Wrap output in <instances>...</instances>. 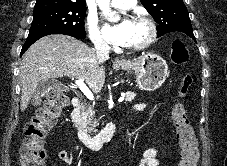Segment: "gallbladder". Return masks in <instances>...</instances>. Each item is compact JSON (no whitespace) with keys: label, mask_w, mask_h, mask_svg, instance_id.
<instances>
[{"label":"gallbladder","mask_w":227,"mask_h":166,"mask_svg":"<svg viewBox=\"0 0 227 166\" xmlns=\"http://www.w3.org/2000/svg\"><path fill=\"white\" fill-rule=\"evenodd\" d=\"M61 88L63 90H66L67 87L59 83L55 79H48L46 81H41L38 83L36 92H35V100H41L42 97H44L52 88Z\"/></svg>","instance_id":"1"}]
</instances>
